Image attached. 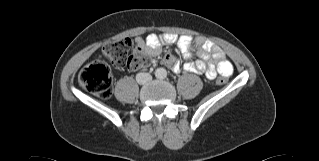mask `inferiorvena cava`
I'll use <instances>...</instances> for the list:
<instances>
[{"label": "inferior vena cava", "instance_id": "obj_1", "mask_svg": "<svg viewBox=\"0 0 319 161\" xmlns=\"http://www.w3.org/2000/svg\"><path fill=\"white\" fill-rule=\"evenodd\" d=\"M152 80V76L149 73H138L136 75V81L139 84H146Z\"/></svg>", "mask_w": 319, "mask_h": 161}]
</instances>
